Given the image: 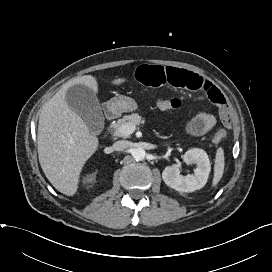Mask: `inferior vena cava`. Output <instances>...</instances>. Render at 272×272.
Returning a JSON list of instances; mask_svg holds the SVG:
<instances>
[{
	"label": "inferior vena cava",
	"instance_id": "602c4592",
	"mask_svg": "<svg viewBox=\"0 0 272 272\" xmlns=\"http://www.w3.org/2000/svg\"><path fill=\"white\" fill-rule=\"evenodd\" d=\"M130 146H131V143L129 141L120 140V141H116L112 147L115 151H124L128 149Z\"/></svg>",
	"mask_w": 272,
	"mask_h": 272
}]
</instances>
